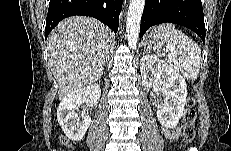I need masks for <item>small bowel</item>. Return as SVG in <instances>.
Masks as SVG:
<instances>
[{
    "label": "small bowel",
    "instance_id": "1",
    "mask_svg": "<svg viewBox=\"0 0 231 151\" xmlns=\"http://www.w3.org/2000/svg\"><path fill=\"white\" fill-rule=\"evenodd\" d=\"M164 133H165V135H166L167 138H169V139H175L179 135V129L178 128L164 129Z\"/></svg>",
    "mask_w": 231,
    "mask_h": 151
}]
</instances>
